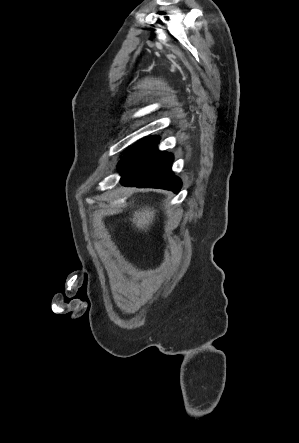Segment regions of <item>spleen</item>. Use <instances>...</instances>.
Listing matches in <instances>:
<instances>
[{
  "label": "spleen",
  "mask_w": 299,
  "mask_h": 443,
  "mask_svg": "<svg viewBox=\"0 0 299 443\" xmlns=\"http://www.w3.org/2000/svg\"><path fill=\"white\" fill-rule=\"evenodd\" d=\"M153 214L154 212H149V210H145L141 213H136L133 221L136 222L138 226L142 227L145 224H148L149 221H151V219L153 218Z\"/></svg>",
  "instance_id": "spleen-1"
}]
</instances>
